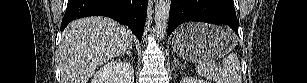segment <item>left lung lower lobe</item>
<instances>
[{
    "label": "left lung lower lobe",
    "mask_w": 307,
    "mask_h": 83,
    "mask_svg": "<svg viewBox=\"0 0 307 83\" xmlns=\"http://www.w3.org/2000/svg\"><path fill=\"white\" fill-rule=\"evenodd\" d=\"M186 21L228 25L238 33L233 0H171L168 34Z\"/></svg>",
    "instance_id": "obj_1"
}]
</instances>
